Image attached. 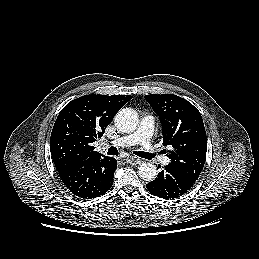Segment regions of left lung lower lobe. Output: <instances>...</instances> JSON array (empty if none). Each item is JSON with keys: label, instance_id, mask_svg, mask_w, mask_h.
I'll list each match as a JSON object with an SVG mask.
<instances>
[{"label": "left lung lower lobe", "instance_id": "0a47b994", "mask_svg": "<svg viewBox=\"0 0 259 259\" xmlns=\"http://www.w3.org/2000/svg\"><path fill=\"white\" fill-rule=\"evenodd\" d=\"M193 184L192 180L168 164L146 187L151 194L169 200L184 195Z\"/></svg>", "mask_w": 259, "mask_h": 259}]
</instances>
